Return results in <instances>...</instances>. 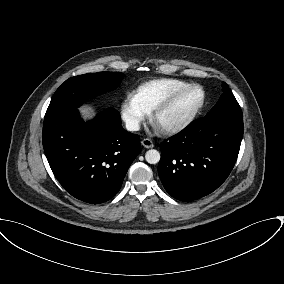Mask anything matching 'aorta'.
<instances>
[{"label":"aorta","mask_w":284,"mask_h":284,"mask_svg":"<svg viewBox=\"0 0 284 284\" xmlns=\"http://www.w3.org/2000/svg\"><path fill=\"white\" fill-rule=\"evenodd\" d=\"M160 153L155 149H150L145 153V159L149 164H157L160 161Z\"/></svg>","instance_id":"aorta-1"}]
</instances>
